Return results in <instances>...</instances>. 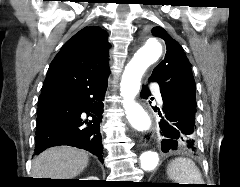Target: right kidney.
<instances>
[{"label": "right kidney", "mask_w": 240, "mask_h": 187, "mask_svg": "<svg viewBox=\"0 0 240 187\" xmlns=\"http://www.w3.org/2000/svg\"><path fill=\"white\" fill-rule=\"evenodd\" d=\"M81 180H98V178L94 177V176H90L88 178H84V179H81Z\"/></svg>", "instance_id": "ca27d5eb"}]
</instances>
